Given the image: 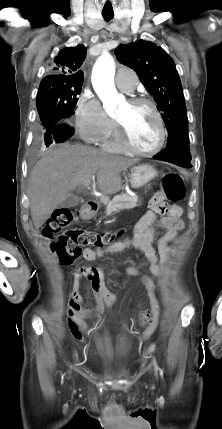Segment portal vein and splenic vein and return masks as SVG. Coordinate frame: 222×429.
<instances>
[{
	"instance_id": "portal-vein-and-splenic-vein-1",
	"label": "portal vein and splenic vein",
	"mask_w": 222,
	"mask_h": 429,
	"mask_svg": "<svg viewBox=\"0 0 222 429\" xmlns=\"http://www.w3.org/2000/svg\"><path fill=\"white\" fill-rule=\"evenodd\" d=\"M90 180H86L84 183H83V185L85 186V187H87V186H89V184H90Z\"/></svg>"
}]
</instances>
